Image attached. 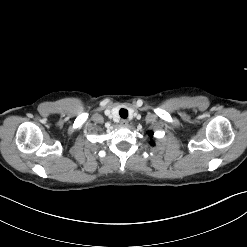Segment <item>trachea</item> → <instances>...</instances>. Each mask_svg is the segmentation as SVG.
<instances>
[{
	"instance_id": "1",
	"label": "trachea",
	"mask_w": 247,
	"mask_h": 247,
	"mask_svg": "<svg viewBox=\"0 0 247 247\" xmlns=\"http://www.w3.org/2000/svg\"><path fill=\"white\" fill-rule=\"evenodd\" d=\"M120 117L126 119L128 117V111L124 108L119 111Z\"/></svg>"
}]
</instances>
